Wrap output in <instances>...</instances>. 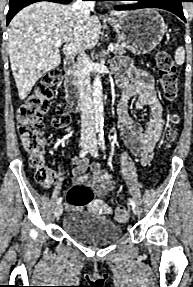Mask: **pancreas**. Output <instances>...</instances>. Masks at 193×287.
Masks as SVG:
<instances>
[{
	"label": "pancreas",
	"mask_w": 193,
	"mask_h": 287,
	"mask_svg": "<svg viewBox=\"0 0 193 287\" xmlns=\"http://www.w3.org/2000/svg\"><path fill=\"white\" fill-rule=\"evenodd\" d=\"M126 49H127V46L124 42H117L115 44V52L114 54H116L117 56H122L126 53Z\"/></svg>",
	"instance_id": "pancreas-1"
}]
</instances>
